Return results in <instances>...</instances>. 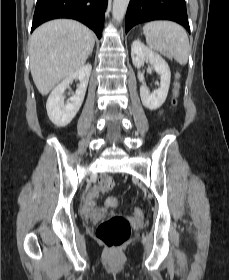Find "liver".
<instances>
[{"mask_svg": "<svg viewBox=\"0 0 229 280\" xmlns=\"http://www.w3.org/2000/svg\"><path fill=\"white\" fill-rule=\"evenodd\" d=\"M94 43L92 31L77 21L58 19L38 27L29 52L31 75L41 95L83 67Z\"/></svg>", "mask_w": 229, "mask_h": 280, "instance_id": "obj_1", "label": "liver"}]
</instances>
